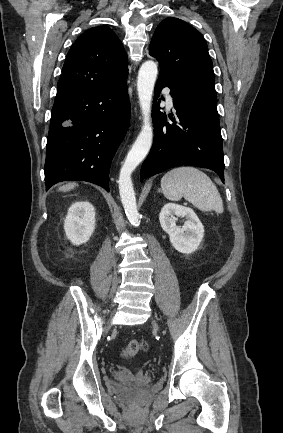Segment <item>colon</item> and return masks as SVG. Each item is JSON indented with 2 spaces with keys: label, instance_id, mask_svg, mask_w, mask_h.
<instances>
[{
  "label": "colon",
  "instance_id": "5ec220e1",
  "mask_svg": "<svg viewBox=\"0 0 283 433\" xmlns=\"http://www.w3.org/2000/svg\"><path fill=\"white\" fill-rule=\"evenodd\" d=\"M147 343L141 340L132 339L126 342L122 348V355L126 358H132L147 350Z\"/></svg>",
  "mask_w": 283,
  "mask_h": 433
}]
</instances>
